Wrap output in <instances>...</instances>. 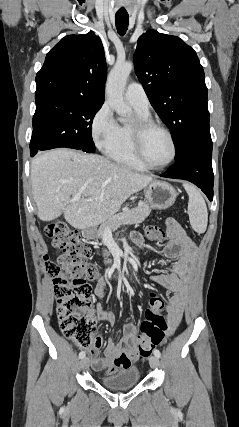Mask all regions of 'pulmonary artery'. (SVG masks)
Listing matches in <instances>:
<instances>
[{
    "instance_id": "1",
    "label": "pulmonary artery",
    "mask_w": 239,
    "mask_h": 427,
    "mask_svg": "<svg viewBox=\"0 0 239 427\" xmlns=\"http://www.w3.org/2000/svg\"><path fill=\"white\" fill-rule=\"evenodd\" d=\"M124 97L132 107L144 112L149 111V100L140 84L130 83L125 89Z\"/></svg>"
}]
</instances>
